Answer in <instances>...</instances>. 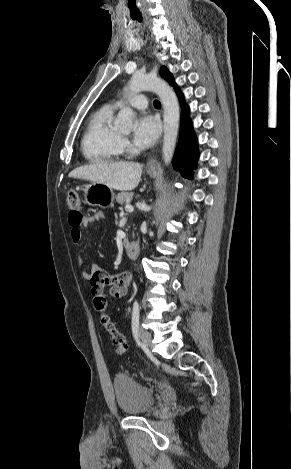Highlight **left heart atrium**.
<instances>
[{"mask_svg":"<svg viewBox=\"0 0 291 469\" xmlns=\"http://www.w3.org/2000/svg\"><path fill=\"white\" fill-rule=\"evenodd\" d=\"M159 133V120L153 115L143 114L136 122L134 140L141 147H149L155 143Z\"/></svg>","mask_w":291,"mask_h":469,"instance_id":"left-heart-atrium-1","label":"left heart atrium"}]
</instances>
